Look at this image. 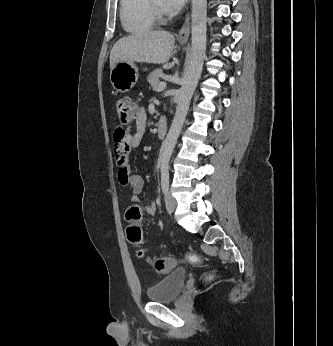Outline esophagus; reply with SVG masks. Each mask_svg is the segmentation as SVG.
Instances as JSON below:
<instances>
[{"instance_id": "esophagus-1", "label": "esophagus", "mask_w": 333, "mask_h": 346, "mask_svg": "<svg viewBox=\"0 0 333 346\" xmlns=\"http://www.w3.org/2000/svg\"><path fill=\"white\" fill-rule=\"evenodd\" d=\"M189 35H190V15L187 14L185 22L179 31L178 39L179 41L186 42L189 39Z\"/></svg>"}]
</instances>
